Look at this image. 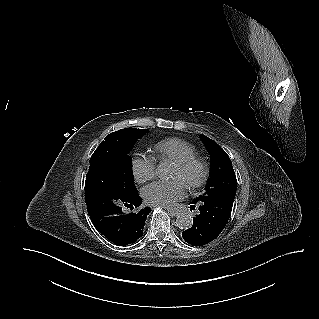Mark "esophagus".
<instances>
[{
    "instance_id": "1",
    "label": "esophagus",
    "mask_w": 319,
    "mask_h": 319,
    "mask_svg": "<svg viewBox=\"0 0 319 319\" xmlns=\"http://www.w3.org/2000/svg\"><path fill=\"white\" fill-rule=\"evenodd\" d=\"M167 211L172 215V216H178L179 212L173 209H167Z\"/></svg>"
}]
</instances>
